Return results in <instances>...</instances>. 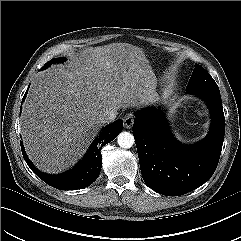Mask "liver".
<instances>
[{
    "instance_id": "liver-1",
    "label": "liver",
    "mask_w": 241,
    "mask_h": 241,
    "mask_svg": "<svg viewBox=\"0 0 241 241\" xmlns=\"http://www.w3.org/2000/svg\"><path fill=\"white\" fill-rule=\"evenodd\" d=\"M157 78L142 48L112 43L84 50L68 68L39 72L21 115L29 159L55 174L86 152L107 111L156 102Z\"/></svg>"
}]
</instances>
